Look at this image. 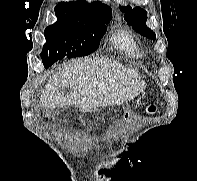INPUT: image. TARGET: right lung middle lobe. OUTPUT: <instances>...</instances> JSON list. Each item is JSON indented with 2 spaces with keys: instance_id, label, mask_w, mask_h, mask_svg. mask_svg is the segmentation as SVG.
<instances>
[{
  "instance_id": "dd1d6c3e",
  "label": "right lung middle lobe",
  "mask_w": 197,
  "mask_h": 181,
  "mask_svg": "<svg viewBox=\"0 0 197 181\" xmlns=\"http://www.w3.org/2000/svg\"><path fill=\"white\" fill-rule=\"evenodd\" d=\"M57 18V22L44 31L46 43L41 58L45 68L64 57H82L95 52L112 14L78 19Z\"/></svg>"
}]
</instances>
